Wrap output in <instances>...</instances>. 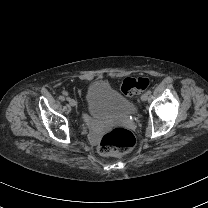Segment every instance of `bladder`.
Masks as SVG:
<instances>
[{
    "label": "bladder",
    "mask_w": 208,
    "mask_h": 208,
    "mask_svg": "<svg viewBox=\"0 0 208 208\" xmlns=\"http://www.w3.org/2000/svg\"><path fill=\"white\" fill-rule=\"evenodd\" d=\"M86 100L91 114L101 117H125L133 104L110 84L97 81L86 88Z\"/></svg>",
    "instance_id": "obj_1"
}]
</instances>
